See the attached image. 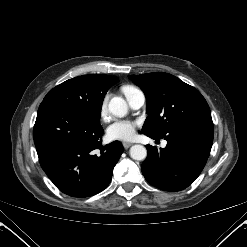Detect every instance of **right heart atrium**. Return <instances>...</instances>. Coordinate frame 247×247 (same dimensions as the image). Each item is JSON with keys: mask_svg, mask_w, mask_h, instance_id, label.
Instances as JSON below:
<instances>
[{"mask_svg": "<svg viewBox=\"0 0 247 247\" xmlns=\"http://www.w3.org/2000/svg\"><path fill=\"white\" fill-rule=\"evenodd\" d=\"M100 113L103 119L107 118V100L106 99L102 102Z\"/></svg>", "mask_w": 247, "mask_h": 247, "instance_id": "obj_1", "label": "right heart atrium"}]
</instances>
